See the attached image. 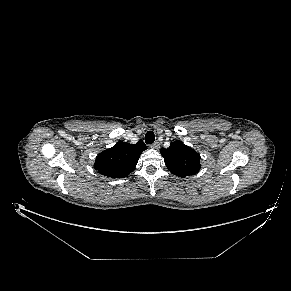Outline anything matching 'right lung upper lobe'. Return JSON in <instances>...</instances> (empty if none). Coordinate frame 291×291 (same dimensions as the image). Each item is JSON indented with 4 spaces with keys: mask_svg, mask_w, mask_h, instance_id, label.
<instances>
[{
    "mask_svg": "<svg viewBox=\"0 0 291 291\" xmlns=\"http://www.w3.org/2000/svg\"><path fill=\"white\" fill-rule=\"evenodd\" d=\"M146 148L142 140L136 144L119 141L96 157L94 168L104 176L124 178L134 170L141 153Z\"/></svg>",
    "mask_w": 291,
    "mask_h": 291,
    "instance_id": "right-lung-upper-lobe-1",
    "label": "right lung upper lobe"
}]
</instances>
